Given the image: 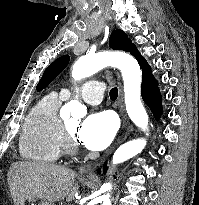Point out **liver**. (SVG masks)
I'll return each instance as SVG.
<instances>
[{
	"instance_id": "liver-1",
	"label": "liver",
	"mask_w": 199,
	"mask_h": 205,
	"mask_svg": "<svg viewBox=\"0 0 199 205\" xmlns=\"http://www.w3.org/2000/svg\"><path fill=\"white\" fill-rule=\"evenodd\" d=\"M75 175L73 170L57 164L20 161L11 165L8 184L15 205H24L30 197L48 202L65 198L72 201L79 189L74 184Z\"/></svg>"
}]
</instances>
